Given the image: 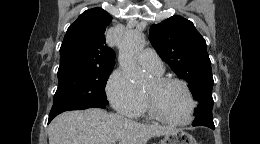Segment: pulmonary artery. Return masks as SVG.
<instances>
[{"label":"pulmonary artery","mask_w":260,"mask_h":144,"mask_svg":"<svg viewBox=\"0 0 260 144\" xmlns=\"http://www.w3.org/2000/svg\"><path fill=\"white\" fill-rule=\"evenodd\" d=\"M140 63L143 67L152 73L160 74L163 72L162 61L157 52L153 49L143 50L140 55Z\"/></svg>","instance_id":"obj_1"}]
</instances>
